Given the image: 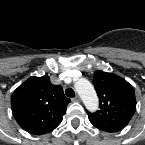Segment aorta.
Wrapping results in <instances>:
<instances>
[{"label": "aorta", "instance_id": "762f6f07", "mask_svg": "<svg viewBox=\"0 0 145 145\" xmlns=\"http://www.w3.org/2000/svg\"><path fill=\"white\" fill-rule=\"evenodd\" d=\"M75 89L89 111L98 109L99 101L93 85L85 78H80L75 83Z\"/></svg>", "mask_w": 145, "mask_h": 145}]
</instances>
